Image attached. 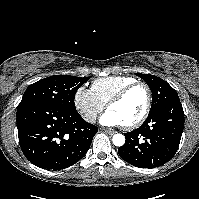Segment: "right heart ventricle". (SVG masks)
Wrapping results in <instances>:
<instances>
[{
    "label": "right heart ventricle",
    "instance_id": "e07e8e85",
    "mask_svg": "<svg viewBox=\"0 0 199 199\" xmlns=\"http://www.w3.org/2000/svg\"><path fill=\"white\" fill-rule=\"evenodd\" d=\"M128 76H109L95 80L91 85L94 96L103 104H107L123 87L134 82Z\"/></svg>",
    "mask_w": 199,
    "mask_h": 199
}]
</instances>
